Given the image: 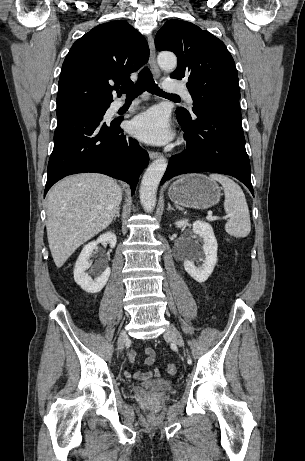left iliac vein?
Listing matches in <instances>:
<instances>
[{"label": "left iliac vein", "instance_id": "1", "mask_svg": "<svg viewBox=\"0 0 305 461\" xmlns=\"http://www.w3.org/2000/svg\"><path fill=\"white\" fill-rule=\"evenodd\" d=\"M164 336L167 338H170L178 346L180 347L184 346L182 335L180 334V332L177 330V328L173 324L169 325V327L166 329L164 333Z\"/></svg>", "mask_w": 305, "mask_h": 461}]
</instances>
